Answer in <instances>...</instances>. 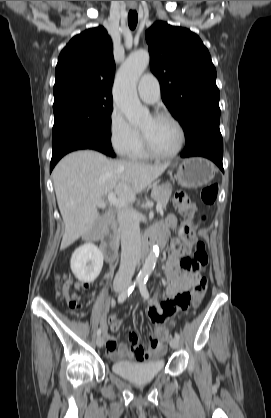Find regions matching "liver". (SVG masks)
Segmentation results:
<instances>
[{
	"mask_svg": "<svg viewBox=\"0 0 271 418\" xmlns=\"http://www.w3.org/2000/svg\"><path fill=\"white\" fill-rule=\"evenodd\" d=\"M169 162L145 164L111 160L103 154L83 150L65 156L54 168L52 177L65 232L61 249L67 248L89 232L104 209V196L110 192L126 203L161 176Z\"/></svg>",
	"mask_w": 271,
	"mask_h": 418,
	"instance_id": "obj_1",
	"label": "liver"
}]
</instances>
